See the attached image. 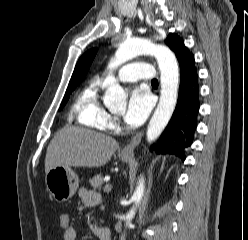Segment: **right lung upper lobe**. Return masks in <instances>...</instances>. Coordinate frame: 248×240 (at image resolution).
Instances as JSON below:
<instances>
[{"mask_svg":"<svg viewBox=\"0 0 248 240\" xmlns=\"http://www.w3.org/2000/svg\"><path fill=\"white\" fill-rule=\"evenodd\" d=\"M97 53V49H91L87 51L77 62L73 75L70 81H79L81 82L85 75L87 74L90 65Z\"/></svg>","mask_w":248,"mask_h":240,"instance_id":"cb5924a9","label":"right lung upper lobe"}]
</instances>
